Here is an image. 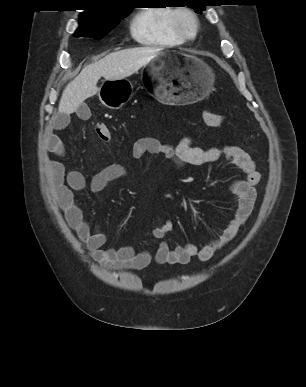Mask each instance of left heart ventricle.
<instances>
[{"mask_svg":"<svg viewBox=\"0 0 306 387\" xmlns=\"http://www.w3.org/2000/svg\"><path fill=\"white\" fill-rule=\"evenodd\" d=\"M183 22H184L185 27H186L189 31H191L192 28H193V23H192L191 19L188 18V17H185L184 20H183Z\"/></svg>","mask_w":306,"mask_h":387,"instance_id":"1","label":"left heart ventricle"}]
</instances>
